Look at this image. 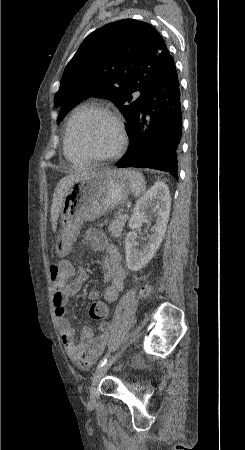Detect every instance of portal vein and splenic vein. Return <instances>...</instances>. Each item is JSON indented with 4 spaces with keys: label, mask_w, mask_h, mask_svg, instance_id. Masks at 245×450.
<instances>
[{
    "label": "portal vein and splenic vein",
    "mask_w": 245,
    "mask_h": 450,
    "mask_svg": "<svg viewBox=\"0 0 245 450\" xmlns=\"http://www.w3.org/2000/svg\"><path fill=\"white\" fill-rule=\"evenodd\" d=\"M122 218H123V219H127V218H128V215L125 213V214L122 215Z\"/></svg>",
    "instance_id": "18ae733b"
}]
</instances>
